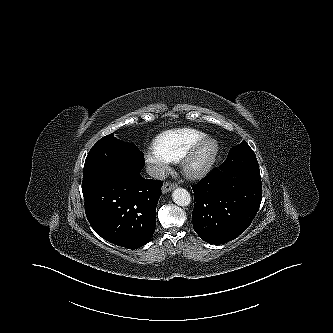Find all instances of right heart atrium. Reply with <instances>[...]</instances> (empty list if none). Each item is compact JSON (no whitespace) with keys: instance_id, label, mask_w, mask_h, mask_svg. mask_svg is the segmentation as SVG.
I'll return each mask as SVG.
<instances>
[{"instance_id":"obj_1","label":"right heart atrium","mask_w":333,"mask_h":333,"mask_svg":"<svg viewBox=\"0 0 333 333\" xmlns=\"http://www.w3.org/2000/svg\"><path fill=\"white\" fill-rule=\"evenodd\" d=\"M145 160L147 163L154 166V173L157 176H162L170 169L171 162L165 157L157 154L154 150L145 153Z\"/></svg>"}]
</instances>
